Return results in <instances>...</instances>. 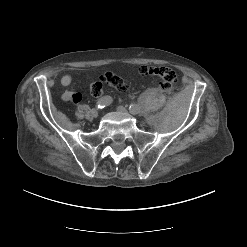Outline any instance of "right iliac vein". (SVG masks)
Returning <instances> with one entry per match:
<instances>
[{
  "label": "right iliac vein",
  "instance_id": "1",
  "mask_svg": "<svg viewBox=\"0 0 247 247\" xmlns=\"http://www.w3.org/2000/svg\"><path fill=\"white\" fill-rule=\"evenodd\" d=\"M91 114H92V116H93L94 118H97V117H98V110L93 109V110L91 111Z\"/></svg>",
  "mask_w": 247,
  "mask_h": 247
}]
</instances>
